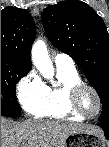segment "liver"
<instances>
[{"mask_svg": "<svg viewBox=\"0 0 109 147\" xmlns=\"http://www.w3.org/2000/svg\"><path fill=\"white\" fill-rule=\"evenodd\" d=\"M75 132L104 135L92 125L29 119L13 124L1 119V147H65L67 137Z\"/></svg>", "mask_w": 109, "mask_h": 147, "instance_id": "6515ba94", "label": "liver"}]
</instances>
